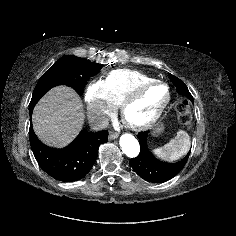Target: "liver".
<instances>
[{
	"label": "liver",
	"instance_id": "1",
	"mask_svg": "<svg viewBox=\"0 0 236 236\" xmlns=\"http://www.w3.org/2000/svg\"><path fill=\"white\" fill-rule=\"evenodd\" d=\"M83 103L69 87L58 86L41 98L33 111V128L38 138L53 147L67 146L84 123Z\"/></svg>",
	"mask_w": 236,
	"mask_h": 236
}]
</instances>
